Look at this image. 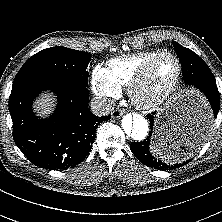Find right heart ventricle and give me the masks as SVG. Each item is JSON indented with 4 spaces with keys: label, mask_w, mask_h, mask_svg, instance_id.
Here are the masks:
<instances>
[{
    "label": "right heart ventricle",
    "mask_w": 222,
    "mask_h": 222,
    "mask_svg": "<svg viewBox=\"0 0 222 222\" xmlns=\"http://www.w3.org/2000/svg\"><path fill=\"white\" fill-rule=\"evenodd\" d=\"M160 51H146L110 60L106 67L109 79L118 88H128L140 70Z\"/></svg>",
    "instance_id": "1"
}]
</instances>
